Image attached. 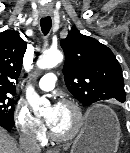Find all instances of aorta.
Segmentation results:
<instances>
[{"mask_svg":"<svg viewBox=\"0 0 130 153\" xmlns=\"http://www.w3.org/2000/svg\"><path fill=\"white\" fill-rule=\"evenodd\" d=\"M63 61V54L60 51H48L38 60L37 66L40 69H51ZM26 99L34 114H42L48 110L50 102L45 97H40L32 86L26 90Z\"/></svg>","mask_w":130,"mask_h":153,"instance_id":"aorta-1","label":"aorta"}]
</instances>
